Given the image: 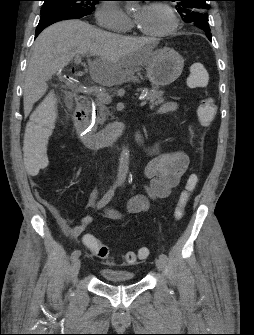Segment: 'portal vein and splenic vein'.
I'll return each mask as SVG.
<instances>
[{"label":"portal vein and splenic vein","instance_id":"1","mask_svg":"<svg viewBox=\"0 0 254 335\" xmlns=\"http://www.w3.org/2000/svg\"><path fill=\"white\" fill-rule=\"evenodd\" d=\"M80 62H81V56L77 55L75 58V63L79 64ZM91 92H93L96 95V97L103 103H111L112 101L111 95H109L108 93H105L104 91L92 89ZM140 101H141L140 106H144L146 104L144 97H141Z\"/></svg>","mask_w":254,"mask_h":335}]
</instances>
